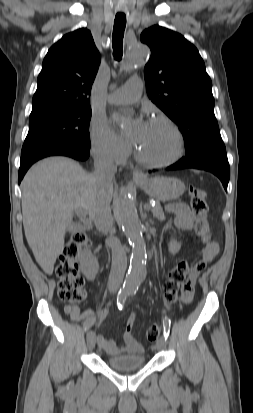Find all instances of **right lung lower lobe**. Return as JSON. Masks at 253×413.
Listing matches in <instances>:
<instances>
[{"label":"right lung lower lobe","instance_id":"right-lung-lower-lobe-1","mask_svg":"<svg viewBox=\"0 0 253 413\" xmlns=\"http://www.w3.org/2000/svg\"><path fill=\"white\" fill-rule=\"evenodd\" d=\"M89 149L82 148V147H56L51 149H46L43 151L30 153L21 156L20 160V169H19V177L18 182L20 183L23 179L26 171L29 167L36 161L54 155H63L72 157L76 160H86L89 157Z\"/></svg>","mask_w":253,"mask_h":413}]
</instances>
